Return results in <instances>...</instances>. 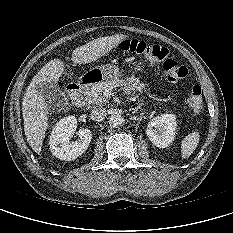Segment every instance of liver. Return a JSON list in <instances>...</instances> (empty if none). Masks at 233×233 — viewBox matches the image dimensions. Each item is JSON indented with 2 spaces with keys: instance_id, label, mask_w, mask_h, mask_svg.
<instances>
[{
  "instance_id": "obj_1",
  "label": "liver",
  "mask_w": 233,
  "mask_h": 233,
  "mask_svg": "<svg viewBox=\"0 0 233 233\" xmlns=\"http://www.w3.org/2000/svg\"><path fill=\"white\" fill-rule=\"evenodd\" d=\"M128 36L116 34L94 39L72 52L71 60L77 64H86L99 59L117 47ZM65 71V64L60 59H53L45 64L33 77L22 101V115L27 142L37 154L41 152L45 132L48 128V107L44 98L37 91L42 82L56 83Z\"/></svg>"
}]
</instances>
